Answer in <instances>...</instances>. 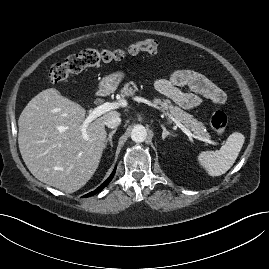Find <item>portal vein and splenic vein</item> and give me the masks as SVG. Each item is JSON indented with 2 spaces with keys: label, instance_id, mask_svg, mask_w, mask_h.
I'll use <instances>...</instances> for the list:
<instances>
[{
  "label": "portal vein and splenic vein",
  "instance_id": "1",
  "mask_svg": "<svg viewBox=\"0 0 269 269\" xmlns=\"http://www.w3.org/2000/svg\"><path fill=\"white\" fill-rule=\"evenodd\" d=\"M136 101H140V102H143V103H146L150 106H154L156 107L155 105H153L149 100L147 99H144V98H141V97H136L135 98ZM124 107L126 106V102L124 101H119V102H106L100 106H97L96 108L93 109V111L89 114V116L85 119V121L83 122V125H82V131L85 133L86 131V128L88 127L89 123H91L94 119H96L97 117L105 114L106 112L112 110V109H116L118 107ZM169 116V114H167ZM170 120L175 122L176 125L188 136V137H194V138H198L196 136H194L190 130H188L184 125H182L179 121H177L175 118L173 117H170ZM199 140H202L206 143H209V144H216L214 141L210 140V139H201V138H198Z\"/></svg>",
  "mask_w": 269,
  "mask_h": 269
}]
</instances>
